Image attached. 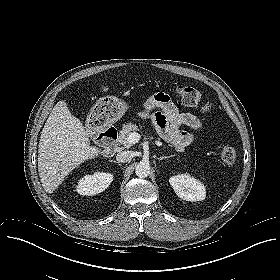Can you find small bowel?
I'll return each instance as SVG.
<instances>
[{
    "label": "small bowel",
    "mask_w": 280,
    "mask_h": 280,
    "mask_svg": "<svg viewBox=\"0 0 280 280\" xmlns=\"http://www.w3.org/2000/svg\"><path fill=\"white\" fill-rule=\"evenodd\" d=\"M140 116L150 119L159 135L179 151L185 150L194 141V135L183 130L182 126L197 132L203 130V123L197 116L180 112L164 93L151 96L145 102Z\"/></svg>",
    "instance_id": "obj_1"
}]
</instances>
